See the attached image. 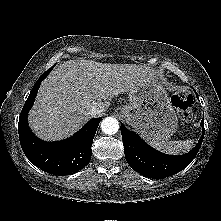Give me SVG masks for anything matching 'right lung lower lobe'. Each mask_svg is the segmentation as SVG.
I'll list each match as a JSON object with an SVG mask.
<instances>
[{
  "label": "right lung lower lobe",
  "mask_w": 221,
  "mask_h": 221,
  "mask_svg": "<svg viewBox=\"0 0 221 221\" xmlns=\"http://www.w3.org/2000/svg\"><path fill=\"white\" fill-rule=\"evenodd\" d=\"M51 69L44 72L32 88L21 111L18 132L21 147L26 157L42 170L58 175H68L85 167L91 159V145L101 118L90 120L72 137L58 141L45 142L38 139L29 129L27 115L31 109L41 82Z\"/></svg>",
  "instance_id": "obj_1"
}]
</instances>
